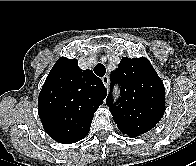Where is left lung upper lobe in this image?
Segmentation results:
<instances>
[{"instance_id":"1","label":"left lung upper lobe","mask_w":196,"mask_h":166,"mask_svg":"<svg viewBox=\"0 0 196 166\" xmlns=\"http://www.w3.org/2000/svg\"><path fill=\"white\" fill-rule=\"evenodd\" d=\"M111 88L120 85V99L112 95L106 102L119 130L130 137L152 129L165 111V88L160 77L145 57H123L111 73Z\"/></svg>"}]
</instances>
